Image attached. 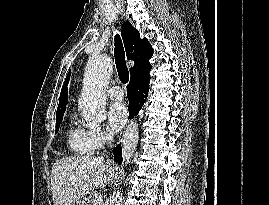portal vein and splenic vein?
Instances as JSON below:
<instances>
[{
	"mask_svg": "<svg viewBox=\"0 0 269 205\" xmlns=\"http://www.w3.org/2000/svg\"><path fill=\"white\" fill-rule=\"evenodd\" d=\"M102 203H103V199L101 197H97L94 205H102Z\"/></svg>",
	"mask_w": 269,
	"mask_h": 205,
	"instance_id": "18ae733b",
	"label": "portal vein and splenic vein"
}]
</instances>
